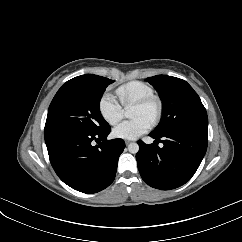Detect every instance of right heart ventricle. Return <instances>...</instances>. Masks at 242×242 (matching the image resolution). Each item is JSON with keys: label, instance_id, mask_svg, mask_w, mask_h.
<instances>
[{"label": "right heart ventricle", "instance_id": "e07e8e85", "mask_svg": "<svg viewBox=\"0 0 242 242\" xmlns=\"http://www.w3.org/2000/svg\"><path fill=\"white\" fill-rule=\"evenodd\" d=\"M153 95V89L141 81H131L116 89V96L124 107H129L136 101Z\"/></svg>", "mask_w": 242, "mask_h": 242}]
</instances>
